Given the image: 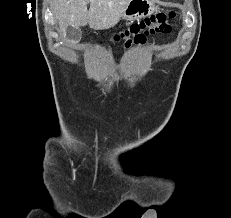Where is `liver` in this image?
Masks as SVG:
<instances>
[{"instance_id": "obj_1", "label": "liver", "mask_w": 231, "mask_h": 218, "mask_svg": "<svg viewBox=\"0 0 231 218\" xmlns=\"http://www.w3.org/2000/svg\"><path fill=\"white\" fill-rule=\"evenodd\" d=\"M128 2L129 0H53L52 7L59 23V32L65 38L68 26L79 28L89 24L94 30L114 27Z\"/></svg>"}]
</instances>
